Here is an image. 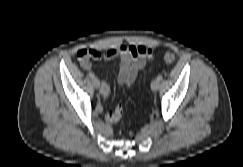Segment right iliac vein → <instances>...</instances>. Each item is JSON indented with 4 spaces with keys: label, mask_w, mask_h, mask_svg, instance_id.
Listing matches in <instances>:
<instances>
[{
    "label": "right iliac vein",
    "mask_w": 243,
    "mask_h": 167,
    "mask_svg": "<svg viewBox=\"0 0 243 167\" xmlns=\"http://www.w3.org/2000/svg\"><path fill=\"white\" fill-rule=\"evenodd\" d=\"M92 83H93V86H94L95 88H99V86H100V81H99L97 78H94V79L92 80Z\"/></svg>",
    "instance_id": "63e3f726"
}]
</instances>
